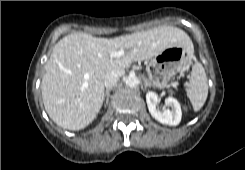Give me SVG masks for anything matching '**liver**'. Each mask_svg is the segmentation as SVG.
I'll use <instances>...</instances> for the list:
<instances>
[{"label":"liver","instance_id":"1","mask_svg":"<svg viewBox=\"0 0 245 170\" xmlns=\"http://www.w3.org/2000/svg\"><path fill=\"white\" fill-rule=\"evenodd\" d=\"M183 46L194 52L190 37L173 26H160L113 39L84 33L69 34L54 46L45 64L42 98L49 117L68 130L85 128L98 115L104 101V76L124 71L134 61L157 56L165 49ZM123 50L124 55L110 54Z\"/></svg>","mask_w":245,"mask_h":170}]
</instances>
